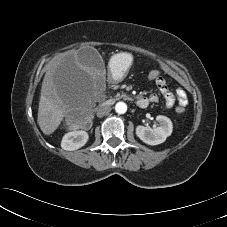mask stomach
<instances>
[{
    "instance_id": "1",
    "label": "stomach",
    "mask_w": 227,
    "mask_h": 227,
    "mask_svg": "<svg viewBox=\"0 0 227 227\" xmlns=\"http://www.w3.org/2000/svg\"><path fill=\"white\" fill-rule=\"evenodd\" d=\"M132 60V55L126 52L118 53L110 59L109 71L114 81H120L127 75Z\"/></svg>"
}]
</instances>
